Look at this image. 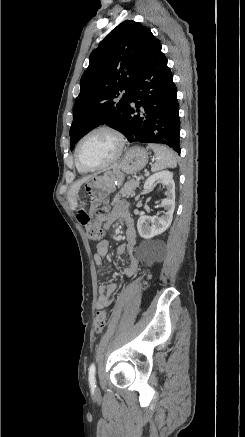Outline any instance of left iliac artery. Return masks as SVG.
<instances>
[{
	"label": "left iliac artery",
	"instance_id": "left-iliac-artery-1",
	"mask_svg": "<svg viewBox=\"0 0 245 437\" xmlns=\"http://www.w3.org/2000/svg\"><path fill=\"white\" fill-rule=\"evenodd\" d=\"M89 384L91 388H95L96 387V379H95V365L94 363L91 364L90 368H89Z\"/></svg>",
	"mask_w": 245,
	"mask_h": 437
}]
</instances>
